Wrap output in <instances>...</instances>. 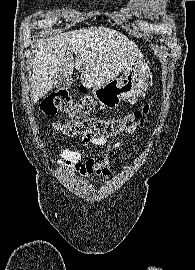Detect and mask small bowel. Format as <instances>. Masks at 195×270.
Listing matches in <instances>:
<instances>
[{"label": "small bowel", "mask_w": 195, "mask_h": 270, "mask_svg": "<svg viewBox=\"0 0 195 270\" xmlns=\"http://www.w3.org/2000/svg\"><path fill=\"white\" fill-rule=\"evenodd\" d=\"M141 120L137 119L130 125H128L120 133L132 134L137 127L141 124ZM81 142L84 146L96 145V146H106L108 153L111 150L118 149L122 145L121 142L110 143L107 137H96V136H84L81 139ZM60 155L64 159L65 166L75 169L81 175L86 177H94L96 175H109L110 170L107 168V163L109 156L107 154L105 162L98 164L95 162L93 157H90L86 162H81L82 152L80 150H71L65 147H60Z\"/></svg>", "instance_id": "small-bowel-1"}]
</instances>
